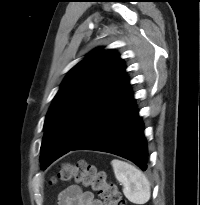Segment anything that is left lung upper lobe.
Wrapping results in <instances>:
<instances>
[{
	"mask_svg": "<svg viewBox=\"0 0 200 205\" xmlns=\"http://www.w3.org/2000/svg\"><path fill=\"white\" fill-rule=\"evenodd\" d=\"M125 68L115 51L96 49L70 70L45 119L42 169L84 138L124 85Z\"/></svg>",
	"mask_w": 200,
	"mask_h": 205,
	"instance_id": "obj_1",
	"label": "left lung upper lobe"
}]
</instances>
